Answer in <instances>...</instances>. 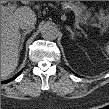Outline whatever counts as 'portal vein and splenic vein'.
<instances>
[{
  "label": "portal vein and splenic vein",
  "instance_id": "1",
  "mask_svg": "<svg viewBox=\"0 0 109 109\" xmlns=\"http://www.w3.org/2000/svg\"><path fill=\"white\" fill-rule=\"evenodd\" d=\"M14 11V6H9V7H5L3 8V13L2 15H7L9 12L12 13ZM76 21V26H79L80 21L78 19H75ZM88 25V23H86Z\"/></svg>",
  "mask_w": 109,
  "mask_h": 109
}]
</instances>
